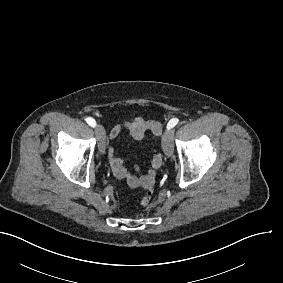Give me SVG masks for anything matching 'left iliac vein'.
Returning <instances> with one entry per match:
<instances>
[{
    "mask_svg": "<svg viewBox=\"0 0 283 283\" xmlns=\"http://www.w3.org/2000/svg\"><path fill=\"white\" fill-rule=\"evenodd\" d=\"M162 147L165 155L171 157L174 151L172 130L168 129L163 133Z\"/></svg>",
    "mask_w": 283,
    "mask_h": 283,
    "instance_id": "1",
    "label": "left iliac vein"
}]
</instances>
